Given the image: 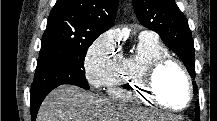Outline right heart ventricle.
<instances>
[{"mask_svg":"<svg viewBox=\"0 0 217 121\" xmlns=\"http://www.w3.org/2000/svg\"><path fill=\"white\" fill-rule=\"evenodd\" d=\"M168 55V50L157 38L139 37L136 52L121 58L106 84L107 94L119 101L153 103L143 89L144 73L152 62Z\"/></svg>","mask_w":217,"mask_h":121,"instance_id":"e07e8e85","label":"right heart ventricle"}]
</instances>
